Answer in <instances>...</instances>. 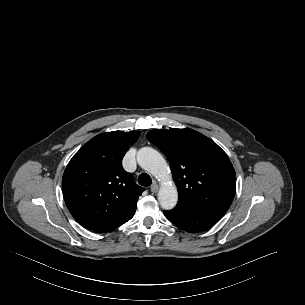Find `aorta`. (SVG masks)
<instances>
[{
  "instance_id": "1",
  "label": "aorta",
  "mask_w": 305,
  "mask_h": 305,
  "mask_svg": "<svg viewBox=\"0 0 305 305\" xmlns=\"http://www.w3.org/2000/svg\"><path fill=\"white\" fill-rule=\"evenodd\" d=\"M137 162L141 168L162 182L158 192L161 207L166 210L173 209L178 201V192L171 182L169 167L163 156L151 147H143L137 153Z\"/></svg>"
}]
</instances>
